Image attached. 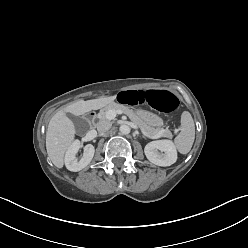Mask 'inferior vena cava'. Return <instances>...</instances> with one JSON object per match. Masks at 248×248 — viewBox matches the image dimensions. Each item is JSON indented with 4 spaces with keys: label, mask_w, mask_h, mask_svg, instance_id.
Returning <instances> with one entry per match:
<instances>
[{
    "label": "inferior vena cava",
    "mask_w": 248,
    "mask_h": 248,
    "mask_svg": "<svg viewBox=\"0 0 248 248\" xmlns=\"http://www.w3.org/2000/svg\"><path fill=\"white\" fill-rule=\"evenodd\" d=\"M112 124L110 121L107 120H101L97 123V130L100 133H104L108 131L111 128Z\"/></svg>",
    "instance_id": "obj_1"
}]
</instances>
